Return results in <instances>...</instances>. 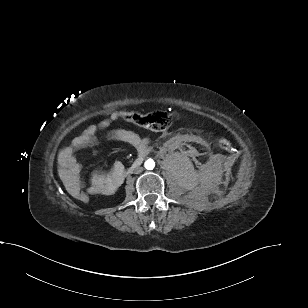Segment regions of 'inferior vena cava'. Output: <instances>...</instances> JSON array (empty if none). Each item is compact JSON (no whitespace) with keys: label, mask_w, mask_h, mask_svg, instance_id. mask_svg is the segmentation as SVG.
I'll list each match as a JSON object with an SVG mask.
<instances>
[{"label":"inferior vena cava","mask_w":308,"mask_h":308,"mask_svg":"<svg viewBox=\"0 0 308 308\" xmlns=\"http://www.w3.org/2000/svg\"><path fill=\"white\" fill-rule=\"evenodd\" d=\"M141 172H142V168H141V167L135 169V173H136V174H139V173H141Z\"/></svg>","instance_id":"1"}]
</instances>
